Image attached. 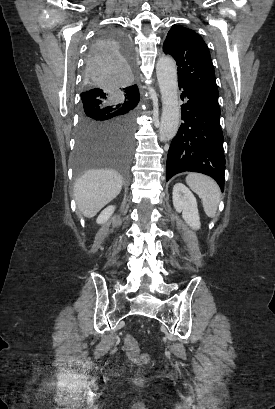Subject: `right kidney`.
Listing matches in <instances>:
<instances>
[{"mask_svg":"<svg viewBox=\"0 0 275 409\" xmlns=\"http://www.w3.org/2000/svg\"><path fill=\"white\" fill-rule=\"evenodd\" d=\"M115 211V207L113 205H110V207H106L102 213H100L99 217L96 219V223L98 225H103V223H106L110 217H112L113 213Z\"/></svg>","mask_w":275,"mask_h":409,"instance_id":"right-kidney-1","label":"right kidney"}]
</instances>
